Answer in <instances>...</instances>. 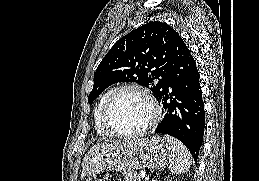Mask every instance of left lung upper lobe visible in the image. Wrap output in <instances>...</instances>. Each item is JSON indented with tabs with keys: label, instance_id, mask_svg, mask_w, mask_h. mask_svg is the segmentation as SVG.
<instances>
[{
	"label": "left lung upper lobe",
	"instance_id": "obj_1",
	"mask_svg": "<svg viewBox=\"0 0 259 181\" xmlns=\"http://www.w3.org/2000/svg\"><path fill=\"white\" fill-rule=\"evenodd\" d=\"M178 37L169 25L154 21L119 39L96 69L89 104L108 86L118 82L141 84L157 99L170 70L173 46ZM155 79L159 81L156 83Z\"/></svg>",
	"mask_w": 259,
	"mask_h": 181
}]
</instances>
